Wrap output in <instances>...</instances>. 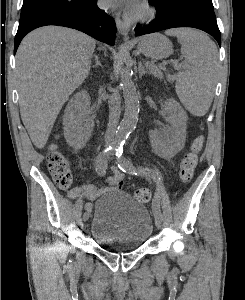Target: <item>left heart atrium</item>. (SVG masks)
<instances>
[{"instance_id":"obj_1","label":"left heart atrium","mask_w":245,"mask_h":300,"mask_svg":"<svg viewBox=\"0 0 245 300\" xmlns=\"http://www.w3.org/2000/svg\"><path fill=\"white\" fill-rule=\"evenodd\" d=\"M106 8L123 6L130 15H135L140 9L139 0H101Z\"/></svg>"}]
</instances>
